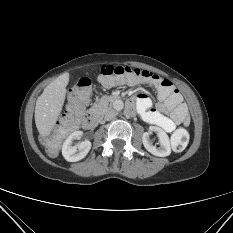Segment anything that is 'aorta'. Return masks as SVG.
<instances>
[{
  "label": "aorta",
  "instance_id": "762f6f07",
  "mask_svg": "<svg viewBox=\"0 0 233 233\" xmlns=\"http://www.w3.org/2000/svg\"><path fill=\"white\" fill-rule=\"evenodd\" d=\"M123 107H124L123 101H121V100L115 101V103H114V108H115L116 110L120 111V110L123 109Z\"/></svg>",
  "mask_w": 233,
  "mask_h": 233
}]
</instances>
